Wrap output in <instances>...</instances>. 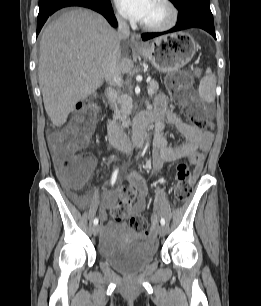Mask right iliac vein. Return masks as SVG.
<instances>
[{
	"mask_svg": "<svg viewBox=\"0 0 261 306\" xmlns=\"http://www.w3.org/2000/svg\"><path fill=\"white\" fill-rule=\"evenodd\" d=\"M99 231H100V227H99L98 225H94V226L92 227V234H93L94 236H97L98 233H99Z\"/></svg>",
	"mask_w": 261,
	"mask_h": 306,
	"instance_id": "right-iliac-vein-1",
	"label": "right iliac vein"
}]
</instances>
